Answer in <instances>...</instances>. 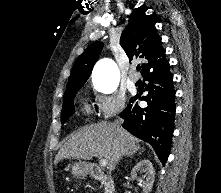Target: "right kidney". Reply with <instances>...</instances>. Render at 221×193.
<instances>
[{
	"instance_id": "ca27d5eb",
	"label": "right kidney",
	"mask_w": 221,
	"mask_h": 193,
	"mask_svg": "<svg viewBox=\"0 0 221 193\" xmlns=\"http://www.w3.org/2000/svg\"><path fill=\"white\" fill-rule=\"evenodd\" d=\"M138 173H144L142 178H138L139 184L143 188V193H150L155 178V171L150 160H141L133 167L131 176L137 178Z\"/></svg>"
}]
</instances>
